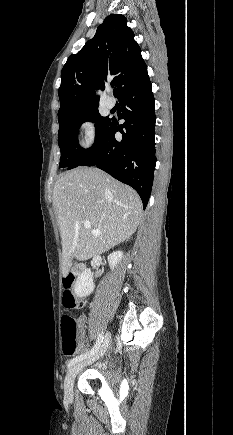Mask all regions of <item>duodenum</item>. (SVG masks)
I'll return each mask as SVG.
<instances>
[{
    "instance_id": "410a0bca",
    "label": "duodenum",
    "mask_w": 233,
    "mask_h": 435,
    "mask_svg": "<svg viewBox=\"0 0 233 435\" xmlns=\"http://www.w3.org/2000/svg\"><path fill=\"white\" fill-rule=\"evenodd\" d=\"M83 269H84V266L79 264V265L76 266L75 271L76 272H81Z\"/></svg>"
}]
</instances>
